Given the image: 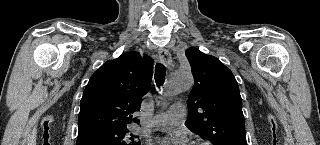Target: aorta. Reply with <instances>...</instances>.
<instances>
[{"label": "aorta", "instance_id": "762f6f07", "mask_svg": "<svg viewBox=\"0 0 320 145\" xmlns=\"http://www.w3.org/2000/svg\"><path fill=\"white\" fill-rule=\"evenodd\" d=\"M193 83V77L190 72L174 71L166 84L164 100H169L176 94L190 89Z\"/></svg>", "mask_w": 320, "mask_h": 145}]
</instances>
